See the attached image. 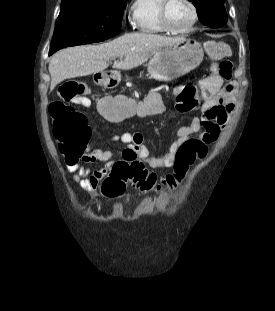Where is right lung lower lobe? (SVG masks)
Listing matches in <instances>:
<instances>
[{
	"label": "right lung lower lobe",
	"instance_id": "1",
	"mask_svg": "<svg viewBox=\"0 0 275 311\" xmlns=\"http://www.w3.org/2000/svg\"><path fill=\"white\" fill-rule=\"evenodd\" d=\"M120 28H121V23H120L119 28H117V30L115 32H111L109 34H106L102 39L106 40V39H108V38H110V37H112L114 35H117L120 32Z\"/></svg>",
	"mask_w": 275,
	"mask_h": 311
}]
</instances>
